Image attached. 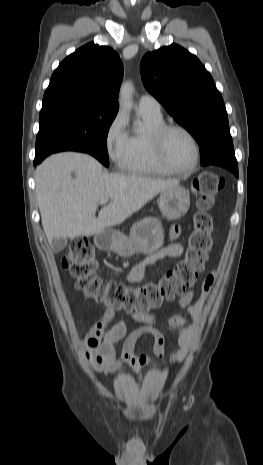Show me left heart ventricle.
<instances>
[{
	"label": "left heart ventricle",
	"mask_w": 263,
	"mask_h": 465,
	"mask_svg": "<svg viewBox=\"0 0 263 465\" xmlns=\"http://www.w3.org/2000/svg\"><path fill=\"white\" fill-rule=\"evenodd\" d=\"M165 156L174 167L185 169L192 165L195 149L191 140L180 131H171L165 139Z\"/></svg>",
	"instance_id": "obj_1"
}]
</instances>
